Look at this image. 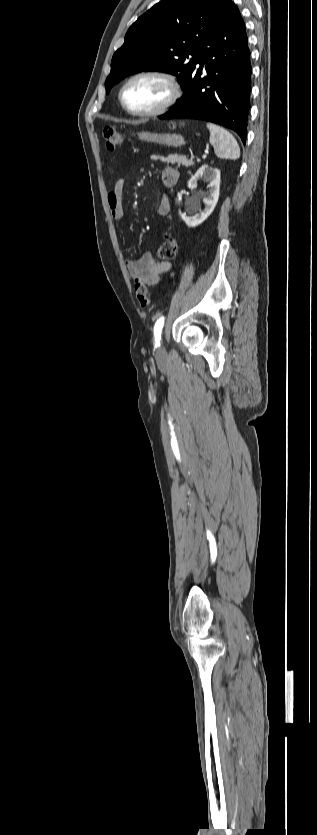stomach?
I'll list each match as a JSON object with an SVG mask.
<instances>
[{"label": "stomach", "instance_id": "1", "mask_svg": "<svg viewBox=\"0 0 317 835\" xmlns=\"http://www.w3.org/2000/svg\"><path fill=\"white\" fill-rule=\"evenodd\" d=\"M140 140L153 142L165 146L178 147L184 144V138L180 134H157L151 132H138Z\"/></svg>", "mask_w": 317, "mask_h": 835}]
</instances>
